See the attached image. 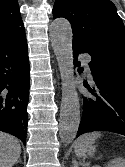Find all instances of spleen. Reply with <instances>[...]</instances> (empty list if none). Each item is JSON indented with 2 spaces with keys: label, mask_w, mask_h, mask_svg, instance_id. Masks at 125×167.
Returning a JSON list of instances; mask_svg holds the SVG:
<instances>
[{
  "label": "spleen",
  "mask_w": 125,
  "mask_h": 167,
  "mask_svg": "<svg viewBox=\"0 0 125 167\" xmlns=\"http://www.w3.org/2000/svg\"><path fill=\"white\" fill-rule=\"evenodd\" d=\"M100 136L101 134L99 132L87 133L80 136L74 143L75 154L79 158L86 156V154L92 155L94 152L92 144ZM106 167H125V158L117 157L108 162Z\"/></svg>",
  "instance_id": "spleen-1"
}]
</instances>
